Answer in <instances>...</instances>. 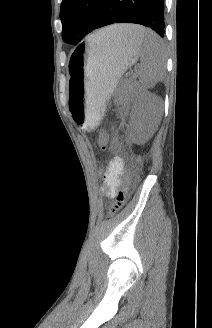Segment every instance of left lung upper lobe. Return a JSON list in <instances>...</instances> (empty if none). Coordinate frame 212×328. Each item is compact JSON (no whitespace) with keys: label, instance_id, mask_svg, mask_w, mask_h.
I'll use <instances>...</instances> for the list:
<instances>
[{"label":"left lung upper lobe","instance_id":"left-lung-upper-lobe-1","mask_svg":"<svg viewBox=\"0 0 212 328\" xmlns=\"http://www.w3.org/2000/svg\"><path fill=\"white\" fill-rule=\"evenodd\" d=\"M104 0H63L60 8L62 38L68 44H78L93 31Z\"/></svg>","mask_w":212,"mask_h":328}]
</instances>
